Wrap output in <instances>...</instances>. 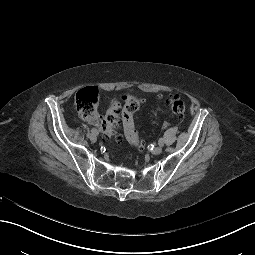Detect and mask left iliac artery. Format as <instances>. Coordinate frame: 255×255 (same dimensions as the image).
<instances>
[{
    "instance_id": "left-iliac-artery-1",
    "label": "left iliac artery",
    "mask_w": 255,
    "mask_h": 255,
    "mask_svg": "<svg viewBox=\"0 0 255 255\" xmlns=\"http://www.w3.org/2000/svg\"><path fill=\"white\" fill-rule=\"evenodd\" d=\"M158 144H159L160 146H163V144H164V140H163V138H159V140H158Z\"/></svg>"
}]
</instances>
